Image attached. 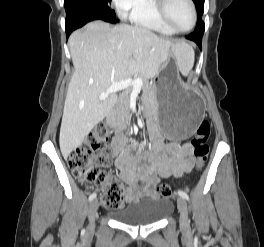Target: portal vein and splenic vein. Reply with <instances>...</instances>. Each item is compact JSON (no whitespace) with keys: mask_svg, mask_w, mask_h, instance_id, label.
<instances>
[{"mask_svg":"<svg viewBox=\"0 0 264 247\" xmlns=\"http://www.w3.org/2000/svg\"><path fill=\"white\" fill-rule=\"evenodd\" d=\"M142 85H143V80L139 77L135 79L129 78L126 80H122V81L113 83L106 92L100 94L99 98L101 100H104L110 94L127 89L130 86H133L134 88L139 90L141 89Z\"/></svg>","mask_w":264,"mask_h":247,"instance_id":"obj_1","label":"portal vein and splenic vein"}]
</instances>
